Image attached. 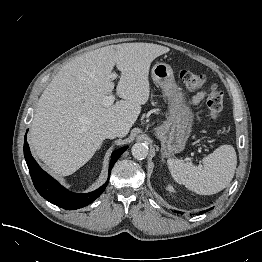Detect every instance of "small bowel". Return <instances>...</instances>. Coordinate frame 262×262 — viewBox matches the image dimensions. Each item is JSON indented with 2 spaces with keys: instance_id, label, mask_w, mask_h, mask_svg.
I'll return each instance as SVG.
<instances>
[{
  "instance_id": "small-bowel-1",
  "label": "small bowel",
  "mask_w": 262,
  "mask_h": 262,
  "mask_svg": "<svg viewBox=\"0 0 262 262\" xmlns=\"http://www.w3.org/2000/svg\"><path fill=\"white\" fill-rule=\"evenodd\" d=\"M205 97H206V92L205 91H199L194 95V97L192 99V103H194V104L200 103L204 100Z\"/></svg>"
}]
</instances>
